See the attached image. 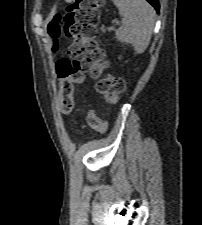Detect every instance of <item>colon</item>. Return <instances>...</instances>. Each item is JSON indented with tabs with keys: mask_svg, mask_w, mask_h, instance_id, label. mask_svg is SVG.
I'll list each match as a JSON object with an SVG mask.
<instances>
[{
	"mask_svg": "<svg viewBox=\"0 0 202 225\" xmlns=\"http://www.w3.org/2000/svg\"><path fill=\"white\" fill-rule=\"evenodd\" d=\"M103 0H75L64 17L58 15L48 25V33L53 40L64 33L72 43L69 58L57 65L60 81L59 106L62 113H70L74 108V84L84 82V74L101 76L110 67V62L102 47L95 41L99 9ZM64 20V25L62 21ZM124 82L118 76L107 73L98 82V90L110 104L119 101L124 91ZM85 119L90 128L97 132L106 130L103 121L94 110H88Z\"/></svg>",
	"mask_w": 202,
	"mask_h": 225,
	"instance_id": "5ec220e1",
	"label": "colon"
}]
</instances>
